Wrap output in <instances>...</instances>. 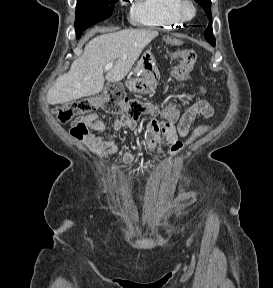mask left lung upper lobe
<instances>
[{
  "mask_svg": "<svg viewBox=\"0 0 273 288\" xmlns=\"http://www.w3.org/2000/svg\"><path fill=\"white\" fill-rule=\"evenodd\" d=\"M197 1L200 6L204 9L209 19H211V1L210 0H195ZM204 36L206 40L211 44L215 45V38L212 34V23L209 24L208 28L206 29Z\"/></svg>",
  "mask_w": 273,
  "mask_h": 288,
  "instance_id": "left-lung-upper-lobe-1",
  "label": "left lung upper lobe"
}]
</instances>
